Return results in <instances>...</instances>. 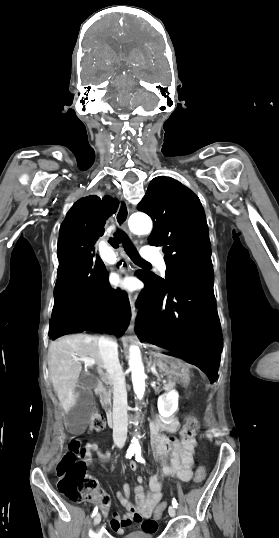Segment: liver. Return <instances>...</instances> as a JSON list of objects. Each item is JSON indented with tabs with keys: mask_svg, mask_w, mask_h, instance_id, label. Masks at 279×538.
Segmentation results:
<instances>
[{
	"mask_svg": "<svg viewBox=\"0 0 279 538\" xmlns=\"http://www.w3.org/2000/svg\"><path fill=\"white\" fill-rule=\"evenodd\" d=\"M99 338L86 334L63 336L51 342L48 350V368L58 400L68 414L75 406L78 392H75L77 380L82 370L78 358H92L97 370L104 368V362L98 346Z\"/></svg>",
	"mask_w": 279,
	"mask_h": 538,
	"instance_id": "obj_1",
	"label": "liver"
}]
</instances>
